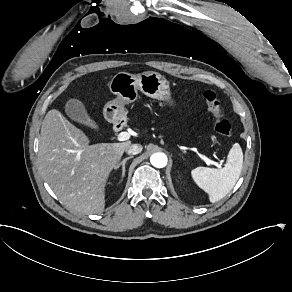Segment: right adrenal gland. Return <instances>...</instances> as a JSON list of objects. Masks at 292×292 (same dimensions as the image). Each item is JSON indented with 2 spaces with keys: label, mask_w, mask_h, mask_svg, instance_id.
<instances>
[{
  "label": "right adrenal gland",
  "mask_w": 292,
  "mask_h": 292,
  "mask_svg": "<svg viewBox=\"0 0 292 292\" xmlns=\"http://www.w3.org/2000/svg\"><path fill=\"white\" fill-rule=\"evenodd\" d=\"M131 158H133V156H129L125 159H123V162L115 169L116 173L119 171V169L121 168V176H120V182L122 181V179L124 178L125 176V165H126V162L128 160H130Z\"/></svg>",
  "instance_id": "obj_1"
}]
</instances>
